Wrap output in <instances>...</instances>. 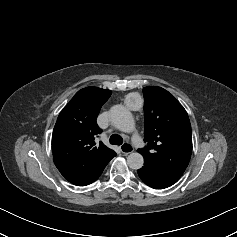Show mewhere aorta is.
Segmentation results:
<instances>
[{
  "label": "aorta",
  "mask_w": 237,
  "mask_h": 237,
  "mask_svg": "<svg viewBox=\"0 0 237 237\" xmlns=\"http://www.w3.org/2000/svg\"><path fill=\"white\" fill-rule=\"evenodd\" d=\"M110 118L112 124L122 132H131L135 123L131 112L122 105H115L111 108ZM129 168L138 170L144 164L143 156L138 152H132L127 157Z\"/></svg>",
  "instance_id": "aorta-1"
}]
</instances>
